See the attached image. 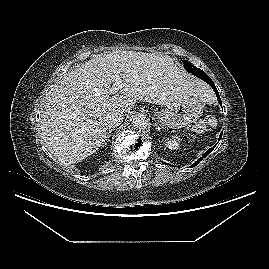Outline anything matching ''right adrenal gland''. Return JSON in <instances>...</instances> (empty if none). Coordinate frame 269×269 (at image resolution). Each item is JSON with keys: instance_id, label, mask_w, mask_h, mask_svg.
Here are the masks:
<instances>
[{"instance_id": "right-adrenal-gland-1", "label": "right adrenal gland", "mask_w": 269, "mask_h": 269, "mask_svg": "<svg viewBox=\"0 0 269 269\" xmlns=\"http://www.w3.org/2000/svg\"><path fill=\"white\" fill-rule=\"evenodd\" d=\"M114 130H115V128H111V129H109V130L107 131V135H106L105 140H104V142H103L104 145H106L107 142L110 141L111 134H112V132H113Z\"/></svg>"}]
</instances>
